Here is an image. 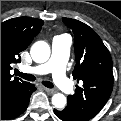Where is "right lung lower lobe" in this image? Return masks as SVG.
Instances as JSON below:
<instances>
[{
    "mask_svg": "<svg viewBox=\"0 0 121 121\" xmlns=\"http://www.w3.org/2000/svg\"><path fill=\"white\" fill-rule=\"evenodd\" d=\"M35 90L33 84L27 83L21 89L7 94L1 100V119H12L22 114L28 107L30 96Z\"/></svg>",
    "mask_w": 121,
    "mask_h": 121,
    "instance_id": "98d812e1",
    "label": "right lung lower lobe"
}]
</instances>
